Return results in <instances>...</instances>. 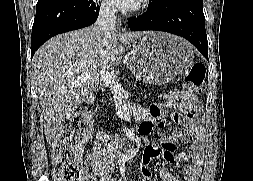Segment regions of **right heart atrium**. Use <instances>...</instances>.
<instances>
[{
    "instance_id": "obj_1",
    "label": "right heart atrium",
    "mask_w": 253,
    "mask_h": 181,
    "mask_svg": "<svg viewBox=\"0 0 253 181\" xmlns=\"http://www.w3.org/2000/svg\"><path fill=\"white\" fill-rule=\"evenodd\" d=\"M100 7L101 10L105 13L111 14L115 12L112 0H101Z\"/></svg>"
}]
</instances>
